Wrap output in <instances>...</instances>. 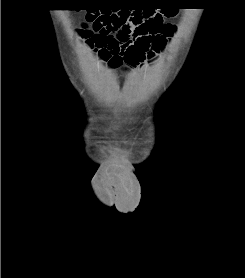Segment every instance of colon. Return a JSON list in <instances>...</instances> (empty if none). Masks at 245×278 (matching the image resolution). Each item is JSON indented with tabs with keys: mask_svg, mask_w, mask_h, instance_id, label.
Returning <instances> with one entry per match:
<instances>
[{
	"mask_svg": "<svg viewBox=\"0 0 245 278\" xmlns=\"http://www.w3.org/2000/svg\"><path fill=\"white\" fill-rule=\"evenodd\" d=\"M80 31L99 42L111 34H116L123 44L138 38L143 46L152 43L158 47L162 44L161 38L171 35L172 27L150 8H135L117 14H99L93 19L91 26L83 25ZM98 47L103 52L101 45Z\"/></svg>",
	"mask_w": 245,
	"mask_h": 278,
	"instance_id": "5ec220e1",
	"label": "colon"
}]
</instances>
